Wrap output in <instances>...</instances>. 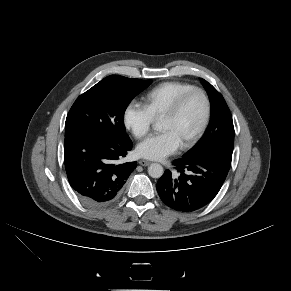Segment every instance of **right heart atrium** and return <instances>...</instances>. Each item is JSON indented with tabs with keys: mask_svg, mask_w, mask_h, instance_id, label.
Masks as SVG:
<instances>
[{
	"mask_svg": "<svg viewBox=\"0 0 291 291\" xmlns=\"http://www.w3.org/2000/svg\"><path fill=\"white\" fill-rule=\"evenodd\" d=\"M123 123L134 137L140 139L150 131L153 118L143 105L131 102L124 109Z\"/></svg>",
	"mask_w": 291,
	"mask_h": 291,
	"instance_id": "right-heart-atrium-1",
	"label": "right heart atrium"
}]
</instances>
